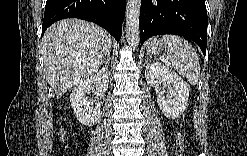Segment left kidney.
<instances>
[{
    "label": "left kidney",
    "mask_w": 247,
    "mask_h": 156,
    "mask_svg": "<svg viewBox=\"0 0 247 156\" xmlns=\"http://www.w3.org/2000/svg\"><path fill=\"white\" fill-rule=\"evenodd\" d=\"M145 77L149 85L163 89L157 91V103L169 119L179 117L187 108L190 87L174 70L159 63L146 65Z\"/></svg>",
    "instance_id": "left-kidney-1"
}]
</instances>
